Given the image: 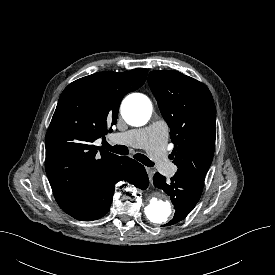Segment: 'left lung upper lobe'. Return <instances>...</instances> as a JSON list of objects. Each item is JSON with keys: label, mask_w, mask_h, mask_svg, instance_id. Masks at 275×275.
Instances as JSON below:
<instances>
[{"label": "left lung upper lobe", "mask_w": 275, "mask_h": 275, "mask_svg": "<svg viewBox=\"0 0 275 275\" xmlns=\"http://www.w3.org/2000/svg\"><path fill=\"white\" fill-rule=\"evenodd\" d=\"M149 86L171 128L176 173L204 181L215 148L216 109L209 89L172 70L152 71Z\"/></svg>", "instance_id": "5c2ea615"}]
</instances>
